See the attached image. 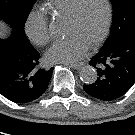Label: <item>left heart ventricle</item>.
Returning <instances> with one entry per match:
<instances>
[{
    "label": "left heart ventricle",
    "mask_w": 135,
    "mask_h": 135,
    "mask_svg": "<svg viewBox=\"0 0 135 135\" xmlns=\"http://www.w3.org/2000/svg\"><path fill=\"white\" fill-rule=\"evenodd\" d=\"M106 17L103 0H86L75 21L67 20V35H78L89 45L101 33Z\"/></svg>",
    "instance_id": "b2bd125f"
}]
</instances>
